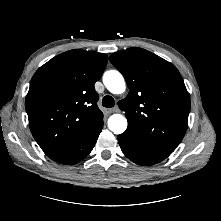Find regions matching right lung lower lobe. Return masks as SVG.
Here are the masks:
<instances>
[{"label": "right lung lower lobe", "instance_id": "1", "mask_svg": "<svg viewBox=\"0 0 221 221\" xmlns=\"http://www.w3.org/2000/svg\"><path fill=\"white\" fill-rule=\"evenodd\" d=\"M102 128L103 117L95 121L74 145L47 156L55 162L65 165H73L82 161L93 149Z\"/></svg>", "mask_w": 221, "mask_h": 221}]
</instances>
